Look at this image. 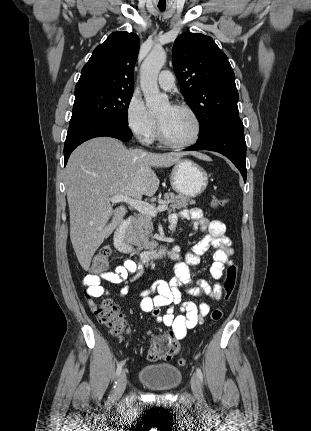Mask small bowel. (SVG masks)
<instances>
[{"label":"small bowel","instance_id":"obj_1","mask_svg":"<svg viewBox=\"0 0 311 431\" xmlns=\"http://www.w3.org/2000/svg\"><path fill=\"white\" fill-rule=\"evenodd\" d=\"M180 220L191 221L194 230H200L207 234L194 245L191 252L183 257L178 254V248H174L171 252L172 258L176 260L174 277L169 281L157 280L139 294L140 309L150 313L158 323L169 328L167 338L176 340L183 339L187 331L200 324L210 311V305L207 302L196 304L193 301H184L182 286L187 287L186 292L191 296L210 300H219L222 296V287L219 283L210 285L203 280H194L190 273V267L196 266L200 261V256L210 248H214L210 273L215 280H219L223 277L225 266L232 264L231 258L234 255L232 242L225 235L226 226L223 222L210 220L198 208L183 209L170 216V229L174 230ZM140 271L141 267L135 261L125 259L113 271L103 272L96 277H85L83 284H90L86 288L88 295L101 297L108 293L100 285L101 281L120 285L131 274ZM126 293L127 288L124 287L120 290L121 295ZM154 293L156 294L153 295ZM89 303L94 309L92 301ZM176 305L179 306V314H175L174 306ZM164 307L167 310L162 313L161 309Z\"/></svg>","mask_w":311,"mask_h":431}]
</instances>
